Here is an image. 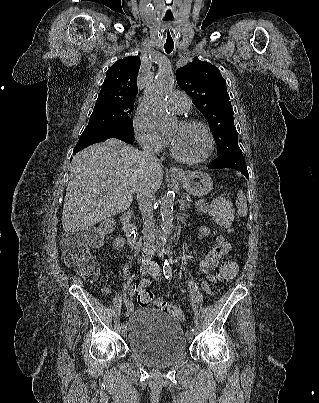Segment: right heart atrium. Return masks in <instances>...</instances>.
<instances>
[{
  "label": "right heart atrium",
  "mask_w": 319,
  "mask_h": 403,
  "mask_svg": "<svg viewBox=\"0 0 319 403\" xmlns=\"http://www.w3.org/2000/svg\"><path fill=\"white\" fill-rule=\"evenodd\" d=\"M134 136L146 151L158 154L163 151L166 142L143 109H138L133 117Z\"/></svg>",
  "instance_id": "obj_1"
}]
</instances>
